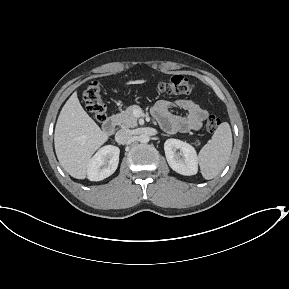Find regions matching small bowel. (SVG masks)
Masks as SVG:
<instances>
[{"label":"small bowel","mask_w":289,"mask_h":289,"mask_svg":"<svg viewBox=\"0 0 289 289\" xmlns=\"http://www.w3.org/2000/svg\"><path fill=\"white\" fill-rule=\"evenodd\" d=\"M171 107L185 110L187 114L176 115ZM152 115L166 132L175 133L198 130L207 117V111L193 99L159 100L152 108Z\"/></svg>","instance_id":"1"}]
</instances>
